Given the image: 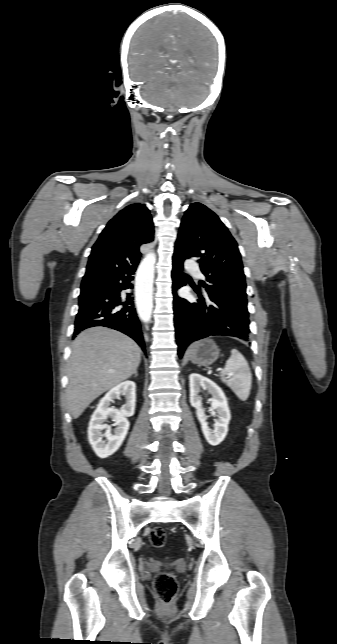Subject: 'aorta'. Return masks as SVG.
Here are the masks:
<instances>
[{"label":"aorta","mask_w":337,"mask_h":644,"mask_svg":"<svg viewBox=\"0 0 337 644\" xmlns=\"http://www.w3.org/2000/svg\"><path fill=\"white\" fill-rule=\"evenodd\" d=\"M155 255L151 254L140 264L135 283L136 306L141 319L148 322L151 318L153 301V277Z\"/></svg>","instance_id":"obj_1"}]
</instances>
